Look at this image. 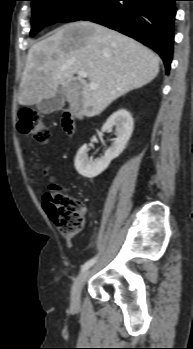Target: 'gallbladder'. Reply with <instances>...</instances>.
Returning <instances> with one entry per match:
<instances>
[{
  "mask_svg": "<svg viewBox=\"0 0 193 349\" xmlns=\"http://www.w3.org/2000/svg\"><path fill=\"white\" fill-rule=\"evenodd\" d=\"M65 103V92L61 86L54 97L44 98L36 104L37 110L42 114H50L61 110Z\"/></svg>",
  "mask_w": 193,
  "mask_h": 349,
  "instance_id": "gallbladder-1",
  "label": "gallbladder"
}]
</instances>
